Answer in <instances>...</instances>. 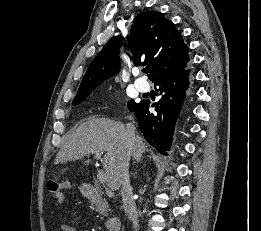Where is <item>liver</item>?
<instances>
[{"label":"liver","mask_w":261,"mask_h":231,"mask_svg":"<svg viewBox=\"0 0 261 231\" xmlns=\"http://www.w3.org/2000/svg\"><path fill=\"white\" fill-rule=\"evenodd\" d=\"M136 150L141 155L145 152L146 145L141 138L135 137L131 148L124 124L107 118H91L67 137L56 156L55 164L75 161L96 151L106 152L103 167L107 185L116 191L122 185L126 164Z\"/></svg>","instance_id":"obj_1"}]
</instances>
